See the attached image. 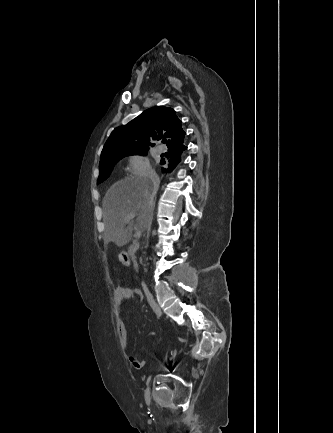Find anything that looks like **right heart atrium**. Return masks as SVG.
<instances>
[{
    "label": "right heart atrium",
    "instance_id": "right-heart-atrium-1",
    "mask_svg": "<svg viewBox=\"0 0 333 433\" xmlns=\"http://www.w3.org/2000/svg\"><path fill=\"white\" fill-rule=\"evenodd\" d=\"M127 172L131 176L145 177L152 172L148 158L140 153H134L127 157Z\"/></svg>",
    "mask_w": 333,
    "mask_h": 433
}]
</instances>
